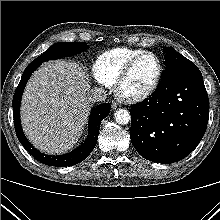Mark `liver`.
Returning a JSON list of instances; mask_svg holds the SVG:
<instances>
[{"mask_svg":"<svg viewBox=\"0 0 220 220\" xmlns=\"http://www.w3.org/2000/svg\"><path fill=\"white\" fill-rule=\"evenodd\" d=\"M90 82L75 62L49 61L27 83L21 123L29 141L41 152L61 154L82 134L91 109Z\"/></svg>","mask_w":220,"mask_h":220,"instance_id":"obj_1","label":"liver"}]
</instances>
